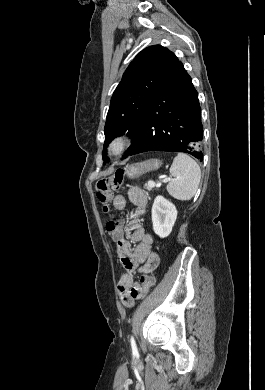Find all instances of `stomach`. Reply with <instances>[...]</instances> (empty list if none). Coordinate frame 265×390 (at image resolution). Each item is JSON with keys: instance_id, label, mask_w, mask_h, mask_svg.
<instances>
[{"instance_id": "1", "label": "stomach", "mask_w": 265, "mask_h": 390, "mask_svg": "<svg viewBox=\"0 0 265 390\" xmlns=\"http://www.w3.org/2000/svg\"><path fill=\"white\" fill-rule=\"evenodd\" d=\"M161 164V161L157 159H151L144 162L132 164L125 168V174L129 178H136L147 171L157 170L161 166Z\"/></svg>"}]
</instances>
